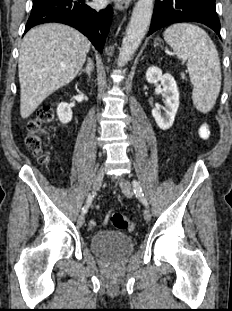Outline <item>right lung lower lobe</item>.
I'll use <instances>...</instances> for the list:
<instances>
[{
    "instance_id": "1",
    "label": "right lung lower lobe",
    "mask_w": 232,
    "mask_h": 311,
    "mask_svg": "<svg viewBox=\"0 0 232 311\" xmlns=\"http://www.w3.org/2000/svg\"><path fill=\"white\" fill-rule=\"evenodd\" d=\"M112 14L110 5L104 10L96 11L86 5L84 0H33L25 32L43 23H64L87 36L96 49L102 52Z\"/></svg>"
}]
</instances>
